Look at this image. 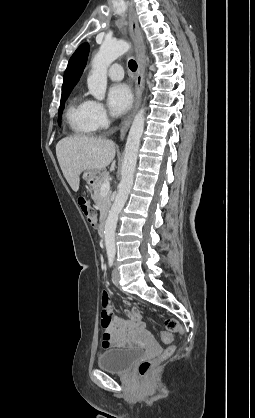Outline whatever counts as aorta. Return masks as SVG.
I'll use <instances>...</instances> for the list:
<instances>
[{"instance_id": "aorta-1", "label": "aorta", "mask_w": 255, "mask_h": 418, "mask_svg": "<svg viewBox=\"0 0 255 418\" xmlns=\"http://www.w3.org/2000/svg\"><path fill=\"white\" fill-rule=\"evenodd\" d=\"M130 49L125 41H104L98 53L92 60L91 73L87 79L90 94L97 100L105 98L107 88V69L119 56ZM145 109L141 108L136 114L126 142L122 164V179L114 203L105 224L104 239L108 256H115V230L118 216L124 207L134 182V170L140 139L144 131Z\"/></svg>"}]
</instances>
